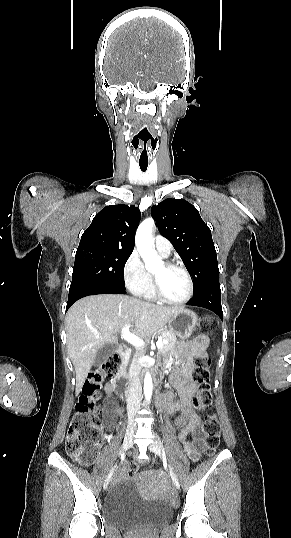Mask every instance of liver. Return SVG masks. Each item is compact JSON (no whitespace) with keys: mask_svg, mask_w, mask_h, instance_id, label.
Instances as JSON below:
<instances>
[{"mask_svg":"<svg viewBox=\"0 0 291 538\" xmlns=\"http://www.w3.org/2000/svg\"><path fill=\"white\" fill-rule=\"evenodd\" d=\"M181 309L120 294L89 296L73 304L66 315V336L68 354L75 369L76 394L83 387L97 351L106 343H117L120 329L130 325L133 334L147 339ZM93 329L98 334L93 333Z\"/></svg>","mask_w":291,"mask_h":538,"instance_id":"1","label":"liver"}]
</instances>
